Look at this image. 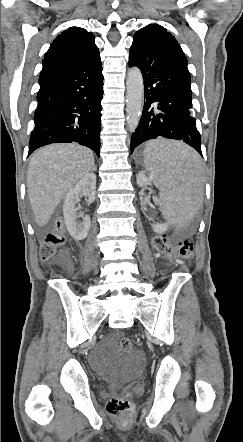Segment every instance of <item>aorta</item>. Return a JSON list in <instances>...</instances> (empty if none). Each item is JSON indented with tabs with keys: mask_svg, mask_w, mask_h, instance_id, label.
Returning <instances> with one entry per match:
<instances>
[{
	"mask_svg": "<svg viewBox=\"0 0 243 442\" xmlns=\"http://www.w3.org/2000/svg\"><path fill=\"white\" fill-rule=\"evenodd\" d=\"M126 96L127 124L129 131L133 133L139 124L144 102L143 77L140 69L137 67H132L128 71Z\"/></svg>",
	"mask_w": 243,
	"mask_h": 442,
	"instance_id": "obj_1",
	"label": "aorta"
}]
</instances>
